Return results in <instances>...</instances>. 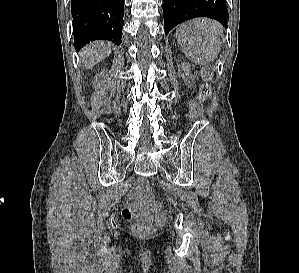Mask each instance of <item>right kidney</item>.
Returning a JSON list of instances; mask_svg holds the SVG:
<instances>
[{
    "label": "right kidney",
    "instance_id": "obj_1",
    "mask_svg": "<svg viewBox=\"0 0 299 273\" xmlns=\"http://www.w3.org/2000/svg\"><path fill=\"white\" fill-rule=\"evenodd\" d=\"M104 76H105V71H102L100 74L96 75L93 79V84L99 86V83Z\"/></svg>",
    "mask_w": 299,
    "mask_h": 273
}]
</instances>
